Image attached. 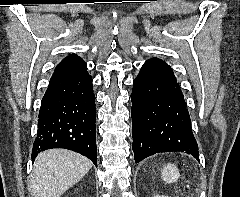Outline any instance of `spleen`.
Masks as SVG:
<instances>
[{
	"mask_svg": "<svg viewBox=\"0 0 240 197\" xmlns=\"http://www.w3.org/2000/svg\"><path fill=\"white\" fill-rule=\"evenodd\" d=\"M161 178L166 183H173L176 182L179 178V171L177 167L174 164H167L163 167V170H161Z\"/></svg>",
	"mask_w": 240,
	"mask_h": 197,
	"instance_id": "3e777b00",
	"label": "spleen"
}]
</instances>
